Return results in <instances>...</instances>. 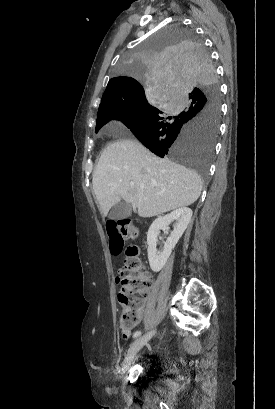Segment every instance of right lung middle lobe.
<instances>
[{"instance_id":"1","label":"right lung middle lobe","mask_w":275,"mask_h":409,"mask_svg":"<svg viewBox=\"0 0 275 409\" xmlns=\"http://www.w3.org/2000/svg\"><path fill=\"white\" fill-rule=\"evenodd\" d=\"M126 50L114 73L141 79L147 96L124 99L97 114L96 133L121 120L151 152L209 177L218 134L219 86L205 41L188 24H165ZM199 188L204 184L199 183Z\"/></svg>"}]
</instances>
